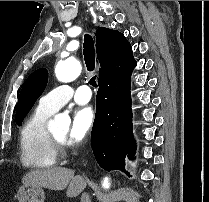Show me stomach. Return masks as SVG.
Wrapping results in <instances>:
<instances>
[{
  "instance_id": "1",
  "label": "stomach",
  "mask_w": 209,
  "mask_h": 202,
  "mask_svg": "<svg viewBox=\"0 0 209 202\" xmlns=\"http://www.w3.org/2000/svg\"><path fill=\"white\" fill-rule=\"evenodd\" d=\"M18 202H44L45 195L42 187L22 185L17 191Z\"/></svg>"
}]
</instances>
